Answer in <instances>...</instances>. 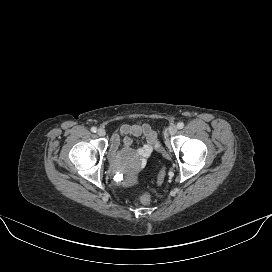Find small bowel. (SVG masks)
Listing matches in <instances>:
<instances>
[{
	"label": "small bowel",
	"instance_id": "1",
	"mask_svg": "<svg viewBox=\"0 0 272 272\" xmlns=\"http://www.w3.org/2000/svg\"><path fill=\"white\" fill-rule=\"evenodd\" d=\"M141 138L142 145L137 149L132 148L133 139ZM156 146V133L148 124H124L118 133L111 137L110 152L115 154L118 150L138 154L141 158L149 157Z\"/></svg>",
	"mask_w": 272,
	"mask_h": 272
}]
</instances>
